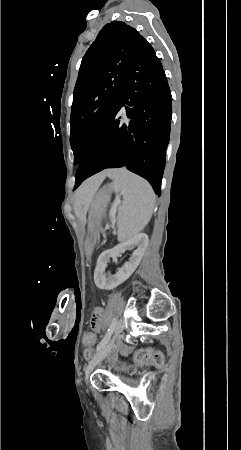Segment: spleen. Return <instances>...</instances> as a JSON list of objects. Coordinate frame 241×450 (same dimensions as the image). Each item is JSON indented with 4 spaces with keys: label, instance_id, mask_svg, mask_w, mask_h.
I'll list each match as a JSON object with an SVG mask.
<instances>
[{
    "label": "spleen",
    "instance_id": "spleen-1",
    "mask_svg": "<svg viewBox=\"0 0 241 450\" xmlns=\"http://www.w3.org/2000/svg\"><path fill=\"white\" fill-rule=\"evenodd\" d=\"M108 178L113 192H124L123 206L117 216L118 240L126 242L135 234L144 230L150 222L156 202V196L144 178L128 170H109Z\"/></svg>",
    "mask_w": 241,
    "mask_h": 450
}]
</instances>
